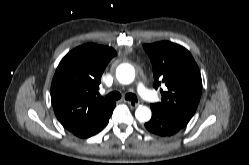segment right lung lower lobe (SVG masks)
Wrapping results in <instances>:
<instances>
[{
	"instance_id": "1",
	"label": "right lung lower lobe",
	"mask_w": 249,
	"mask_h": 165,
	"mask_svg": "<svg viewBox=\"0 0 249 165\" xmlns=\"http://www.w3.org/2000/svg\"><path fill=\"white\" fill-rule=\"evenodd\" d=\"M115 105L116 104L114 103L103 115L92 123L71 132L80 138H88L97 134L107 125Z\"/></svg>"
}]
</instances>
